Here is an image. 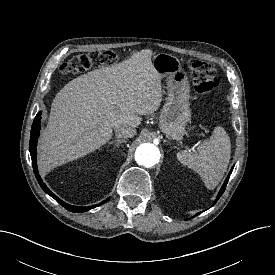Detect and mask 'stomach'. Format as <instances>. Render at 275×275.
Returning <instances> with one entry per match:
<instances>
[{
	"label": "stomach",
	"mask_w": 275,
	"mask_h": 275,
	"mask_svg": "<svg viewBox=\"0 0 275 275\" xmlns=\"http://www.w3.org/2000/svg\"><path fill=\"white\" fill-rule=\"evenodd\" d=\"M152 64L167 82L168 95L159 119L160 129L168 138H180L191 117L187 75L179 59L171 54L158 53L153 57Z\"/></svg>",
	"instance_id": "obj_1"
}]
</instances>
